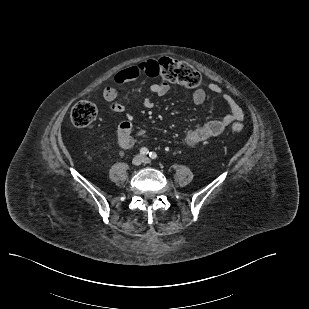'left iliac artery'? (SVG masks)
<instances>
[{"label":"left iliac artery","mask_w":309,"mask_h":309,"mask_svg":"<svg viewBox=\"0 0 309 309\" xmlns=\"http://www.w3.org/2000/svg\"><path fill=\"white\" fill-rule=\"evenodd\" d=\"M149 156L151 159H156L157 158V154L155 152H150Z\"/></svg>","instance_id":"44dca946"}]
</instances>
